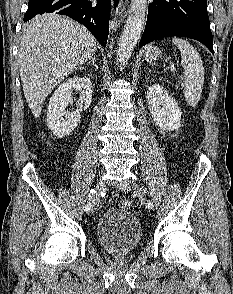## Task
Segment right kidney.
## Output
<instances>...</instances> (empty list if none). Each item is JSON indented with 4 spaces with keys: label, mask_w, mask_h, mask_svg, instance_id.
<instances>
[{
    "label": "right kidney",
    "mask_w": 233,
    "mask_h": 294,
    "mask_svg": "<svg viewBox=\"0 0 233 294\" xmlns=\"http://www.w3.org/2000/svg\"><path fill=\"white\" fill-rule=\"evenodd\" d=\"M79 92L77 109L66 113V106L72 102L73 91ZM92 101V83L90 78L74 76L62 83L52 95L47 110V125L58 138L68 136L78 125L81 112L87 109Z\"/></svg>",
    "instance_id": "obj_1"
}]
</instances>
